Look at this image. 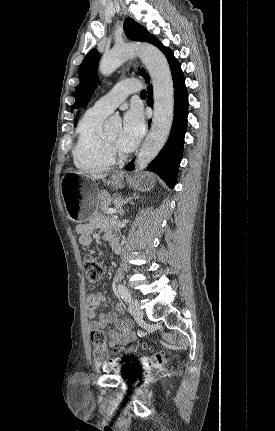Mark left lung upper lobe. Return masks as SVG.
Returning a JSON list of instances; mask_svg holds the SVG:
<instances>
[{"instance_id": "1", "label": "left lung upper lobe", "mask_w": 275, "mask_h": 431, "mask_svg": "<svg viewBox=\"0 0 275 431\" xmlns=\"http://www.w3.org/2000/svg\"><path fill=\"white\" fill-rule=\"evenodd\" d=\"M124 31L126 36L134 41H145L149 42L158 47L163 53L168 48L164 47L153 35H151L143 26L135 23L133 19L127 18L124 22ZM100 60V54L96 49H92L84 58L78 70V77L80 80L79 85L75 90V103L74 108L85 107L90 100L92 93L94 92L98 76L97 67ZM140 75H144V70H139ZM144 78L149 79L148 75L145 74ZM77 119H75V125Z\"/></svg>"}]
</instances>
